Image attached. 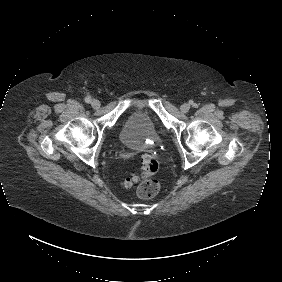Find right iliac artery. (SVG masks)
<instances>
[{
    "label": "right iliac artery",
    "instance_id": "obj_1",
    "mask_svg": "<svg viewBox=\"0 0 282 282\" xmlns=\"http://www.w3.org/2000/svg\"><path fill=\"white\" fill-rule=\"evenodd\" d=\"M85 102H86V103H90V102H91V98H90V97H86V98H85Z\"/></svg>",
    "mask_w": 282,
    "mask_h": 282
}]
</instances>
